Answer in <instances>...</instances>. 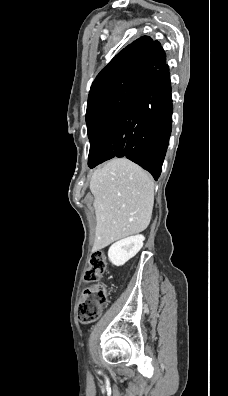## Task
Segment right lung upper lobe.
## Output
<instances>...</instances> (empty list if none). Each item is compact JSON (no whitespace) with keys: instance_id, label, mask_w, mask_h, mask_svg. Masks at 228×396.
<instances>
[{"instance_id":"obj_1","label":"right lung upper lobe","mask_w":228,"mask_h":396,"mask_svg":"<svg viewBox=\"0 0 228 396\" xmlns=\"http://www.w3.org/2000/svg\"><path fill=\"white\" fill-rule=\"evenodd\" d=\"M161 47L148 36L140 37L122 49L97 75L90 91L101 83L133 71L144 70L143 61Z\"/></svg>"}]
</instances>
